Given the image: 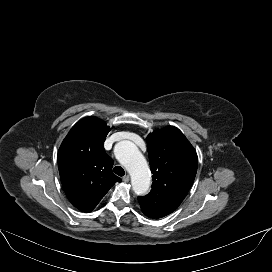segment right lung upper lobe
<instances>
[{"mask_svg":"<svg viewBox=\"0 0 272 272\" xmlns=\"http://www.w3.org/2000/svg\"><path fill=\"white\" fill-rule=\"evenodd\" d=\"M110 128L96 117L77 122L58 152V168L69 201L83 212L92 211L121 179L113 174V160L103 143Z\"/></svg>","mask_w":272,"mask_h":272,"instance_id":"obj_1","label":"right lung upper lobe"}]
</instances>
